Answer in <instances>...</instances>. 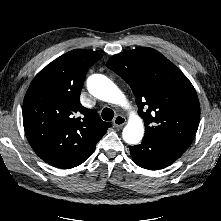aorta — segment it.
Listing matches in <instances>:
<instances>
[{"mask_svg":"<svg viewBox=\"0 0 221 221\" xmlns=\"http://www.w3.org/2000/svg\"><path fill=\"white\" fill-rule=\"evenodd\" d=\"M87 89L96 98L127 107L128 102L122 91L105 75L93 74L87 79ZM144 135L142 119L135 113L130 114L127 125L124 127L122 136L126 143L137 144Z\"/></svg>","mask_w":221,"mask_h":221,"instance_id":"obj_1","label":"aorta"}]
</instances>
